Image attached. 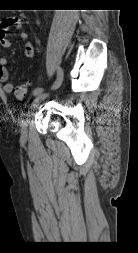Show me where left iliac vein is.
<instances>
[{"instance_id":"obj_1","label":"left iliac vein","mask_w":138,"mask_h":253,"mask_svg":"<svg viewBox=\"0 0 138 253\" xmlns=\"http://www.w3.org/2000/svg\"><path fill=\"white\" fill-rule=\"evenodd\" d=\"M48 96V94L46 93H42L39 94L38 96H36V98L33 100L31 106H30V111L28 113V117H30L33 112L39 107V105L41 104V102ZM28 124L29 122L26 121L22 128H21V139L22 140H26L27 136H28Z\"/></svg>"}]
</instances>
